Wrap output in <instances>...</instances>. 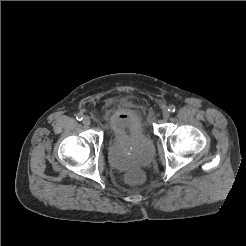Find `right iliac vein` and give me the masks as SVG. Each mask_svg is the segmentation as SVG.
Segmentation results:
<instances>
[{
    "label": "right iliac vein",
    "mask_w": 246,
    "mask_h": 246,
    "mask_svg": "<svg viewBox=\"0 0 246 246\" xmlns=\"http://www.w3.org/2000/svg\"><path fill=\"white\" fill-rule=\"evenodd\" d=\"M82 123L86 126H89L91 124V120L89 117L85 116L82 120Z\"/></svg>",
    "instance_id": "1"
}]
</instances>
